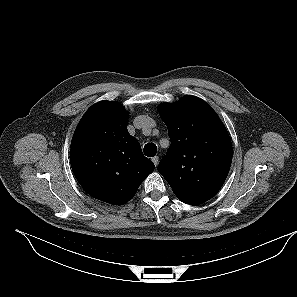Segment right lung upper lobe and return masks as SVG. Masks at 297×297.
I'll use <instances>...</instances> for the list:
<instances>
[{"mask_svg":"<svg viewBox=\"0 0 297 297\" xmlns=\"http://www.w3.org/2000/svg\"><path fill=\"white\" fill-rule=\"evenodd\" d=\"M127 123L123 107L100 101L83 115L71 142L70 163L80 185L113 205L128 202L155 168L127 131Z\"/></svg>","mask_w":297,"mask_h":297,"instance_id":"right-lung-upper-lobe-1","label":"right lung upper lobe"}]
</instances>
